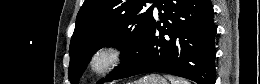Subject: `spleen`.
<instances>
[{"label":"spleen","mask_w":260,"mask_h":84,"mask_svg":"<svg viewBox=\"0 0 260 84\" xmlns=\"http://www.w3.org/2000/svg\"><path fill=\"white\" fill-rule=\"evenodd\" d=\"M166 77L171 81V84H190L186 79L176 78L171 75H166Z\"/></svg>","instance_id":"1"}]
</instances>
